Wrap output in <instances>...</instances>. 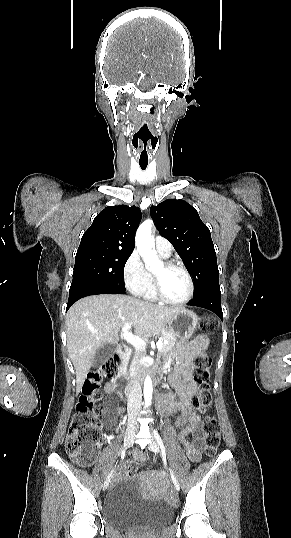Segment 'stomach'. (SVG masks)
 Instances as JSON below:
<instances>
[{
  "label": "stomach",
  "mask_w": 291,
  "mask_h": 538,
  "mask_svg": "<svg viewBox=\"0 0 291 538\" xmlns=\"http://www.w3.org/2000/svg\"><path fill=\"white\" fill-rule=\"evenodd\" d=\"M197 322L198 318L194 312L183 309L173 315L168 328L180 340H186L193 335Z\"/></svg>",
  "instance_id": "0dacf381"
}]
</instances>
